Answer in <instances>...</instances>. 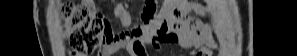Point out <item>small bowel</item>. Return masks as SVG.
<instances>
[{
	"instance_id": "small-bowel-1",
	"label": "small bowel",
	"mask_w": 297,
	"mask_h": 56,
	"mask_svg": "<svg viewBox=\"0 0 297 56\" xmlns=\"http://www.w3.org/2000/svg\"><path fill=\"white\" fill-rule=\"evenodd\" d=\"M194 9L201 15L206 12L198 6ZM156 4L147 1L143 11V24L121 34L112 36L103 46L100 55L111 56L126 49L131 56H148L147 47L159 49L162 43H177L190 49L192 56H211L217 48V41L211 36V28L188 16L189 2L186 0H165L159 14ZM116 16L125 27L131 24V15L119 4ZM84 54H80L83 56Z\"/></svg>"
}]
</instances>
